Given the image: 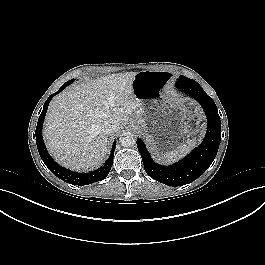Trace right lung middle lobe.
Returning <instances> with one entry per match:
<instances>
[{
    "label": "right lung middle lobe",
    "instance_id": "1",
    "mask_svg": "<svg viewBox=\"0 0 265 265\" xmlns=\"http://www.w3.org/2000/svg\"><path fill=\"white\" fill-rule=\"evenodd\" d=\"M74 81H75V79H71V80L65 82L63 85L66 84V85H65V87H66V86L70 85L71 83H73Z\"/></svg>",
    "mask_w": 265,
    "mask_h": 265
}]
</instances>
